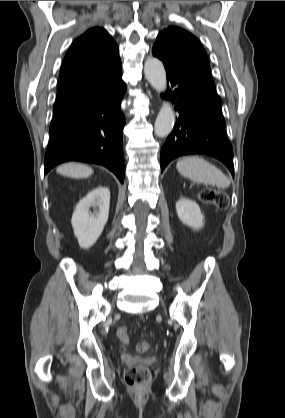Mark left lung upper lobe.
Returning <instances> with one entry per match:
<instances>
[{
    "instance_id": "1",
    "label": "left lung upper lobe",
    "mask_w": 285,
    "mask_h": 418,
    "mask_svg": "<svg viewBox=\"0 0 285 418\" xmlns=\"http://www.w3.org/2000/svg\"><path fill=\"white\" fill-rule=\"evenodd\" d=\"M156 41L165 44L180 58L212 79L207 54L194 35L182 28L169 26L158 34Z\"/></svg>"
}]
</instances>
